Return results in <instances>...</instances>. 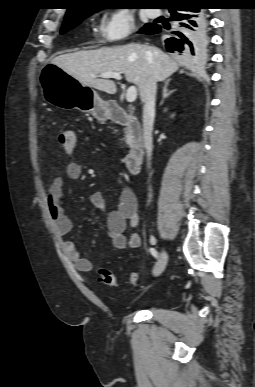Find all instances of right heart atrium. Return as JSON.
Listing matches in <instances>:
<instances>
[{
    "instance_id": "d8ad5b80",
    "label": "right heart atrium",
    "mask_w": 255,
    "mask_h": 387,
    "mask_svg": "<svg viewBox=\"0 0 255 387\" xmlns=\"http://www.w3.org/2000/svg\"><path fill=\"white\" fill-rule=\"evenodd\" d=\"M134 27V18L129 10L115 9L103 19L99 35L106 42H117L128 38Z\"/></svg>"
}]
</instances>
